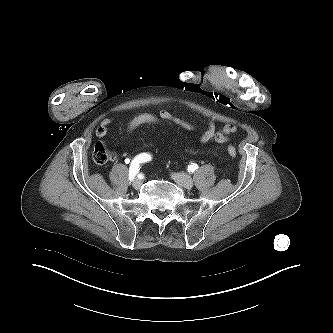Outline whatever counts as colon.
Wrapping results in <instances>:
<instances>
[{
  "label": "colon",
  "mask_w": 333,
  "mask_h": 333,
  "mask_svg": "<svg viewBox=\"0 0 333 333\" xmlns=\"http://www.w3.org/2000/svg\"><path fill=\"white\" fill-rule=\"evenodd\" d=\"M166 122L159 114L150 112H143L132 117L127 124V133H132L135 129L142 125L147 124H162ZM228 154L231 158H235L236 150L232 145L228 146ZM116 154L110 151L105 144L98 142L96 143L92 158L93 161L98 165H105L109 161L115 158Z\"/></svg>",
  "instance_id": "colon-1"
}]
</instances>
